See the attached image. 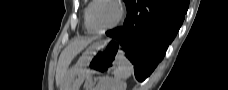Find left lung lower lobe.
<instances>
[{
  "label": "left lung lower lobe",
  "mask_w": 228,
  "mask_h": 90,
  "mask_svg": "<svg viewBox=\"0 0 228 90\" xmlns=\"http://www.w3.org/2000/svg\"><path fill=\"white\" fill-rule=\"evenodd\" d=\"M187 0H128L122 27L106 34L118 41L135 65L138 81L147 78L175 38L187 11Z\"/></svg>",
  "instance_id": "obj_1"
}]
</instances>
